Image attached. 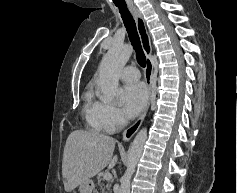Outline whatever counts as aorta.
<instances>
[{
  "mask_svg": "<svg viewBox=\"0 0 237 193\" xmlns=\"http://www.w3.org/2000/svg\"><path fill=\"white\" fill-rule=\"evenodd\" d=\"M132 54V47L128 44L115 43L103 57L99 66L98 86L104 102L113 101L118 93L119 73ZM147 129H141L135 136L129 149L127 169L121 178L118 193H130V183L137 163L142 155Z\"/></svg>",
  "mask_w": 237,
  "mask_h": 193,
  "instance_id": "762f6f07",
  "label": "aorta"
}]
</instances>
